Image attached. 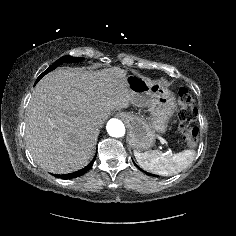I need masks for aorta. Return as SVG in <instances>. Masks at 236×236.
<instances>
[{"label":"aorta","instance_id":"aorta-1","mask_svg":"<svg viewBox=\"0 0 236 236\" xmlns=\"http://www.w3.org/2000/svg\"><path fill=\"white\" fill-rule=\"evenodd\" d=\"M107 132L112 137H122L125 134V126L119 119H110L106 126Z\"/></svg>","mask_w":236,"mask_h":236}]
</instances>
